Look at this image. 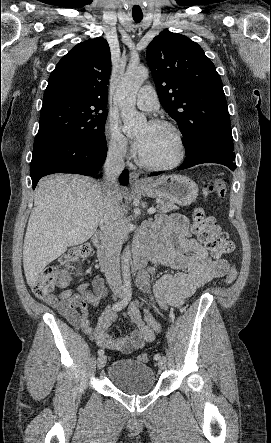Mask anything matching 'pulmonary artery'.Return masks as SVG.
Listing matches in <instances>:
<instances>
[{"label":"pulmonary artery","mask_w":271,"mask_h":443,"mask_svg":"<svg viewBox=\"0 0 271 443\" xmlns=\"http://www.w3.org/2000/svg\"><path fill=\"white\" fill-rule=\"evenodd\" d=\"M137 106L144 111H155L159 108V102L152 86H143L135 97Z\"/></svg>","instance_id":"obj_1"}]
</instances>
